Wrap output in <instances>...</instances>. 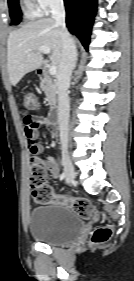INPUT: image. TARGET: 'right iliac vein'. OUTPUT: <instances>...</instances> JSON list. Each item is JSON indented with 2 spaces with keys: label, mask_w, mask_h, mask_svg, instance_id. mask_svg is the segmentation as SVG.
<instances>
[{
  "label": "right iliac vein",
  "mask_w": 134,
  "mask_h": 281,
  "mask_svg": "<svg viewBox=\"0 0 134 281\" xmlns=\"http://www.w3.org/2000/svg\"><path fill=\"white\" fill-rule=\"evenodd\" d=\"M62 162L64 165L66 183L67 184L73 183L75 179V170L66 148L62 149Z\"/></svg>",
  "instance_id": "1"
}]
</instances>
